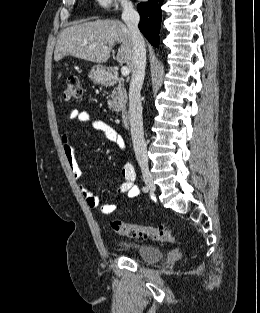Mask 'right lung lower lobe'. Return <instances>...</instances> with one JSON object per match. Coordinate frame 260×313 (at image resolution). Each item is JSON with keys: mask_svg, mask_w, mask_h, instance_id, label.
<instances>
[{"mask_svg": "<svg viewBox=\"0 0 260 313\" xmlns=\"http://www.w3.org/2000/svg\"><path fill=\"white\" fill-rule=\"evenodd\" d=\"M163 0H149L146 3L137 5L140 14L139 29L147 40L155 47H158L159 30L161 24V5Z\"/></svg>", "mask_w": 260, "mask_h": 313, "instance_id": "1", "label": "right lung lower lobe"}]
</instances>
